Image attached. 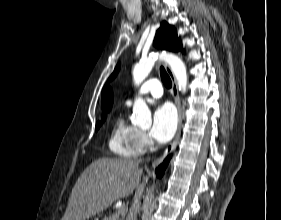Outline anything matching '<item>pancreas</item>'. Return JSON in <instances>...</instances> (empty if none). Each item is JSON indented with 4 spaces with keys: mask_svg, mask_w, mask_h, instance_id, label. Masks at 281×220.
I'll return each mask as SVG.
<instances>
[{
    "mask_svg": "<svg viewBox=\"0 0 281 220\" xmlns=\"http://www.w3.org/2000/svg\"><path fill=\"white\" fill-rule=\"evenodd\" d=\"M104 220H124V213L122 214L118 211L116 215H109L108 217H105Z\"/></svg>",
    "mask_w": 281,
    "mask_h": 220,
    "instance_id": "cf45deb5",
    "label": "pancreas"
}]
</instances>
